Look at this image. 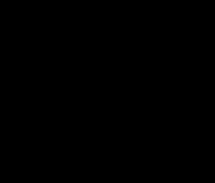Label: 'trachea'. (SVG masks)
Wrapping results in <instances>:
<instances>
[{
    "label": "trachea",
    "instance_id": "1",
    "mask_svg": "<svg viewBox=\"0 0 215 183\" xmlns=\"http://www.w3.org/2000/svg\"><path fill=\"white\" fill-rule=\"evenodd\" d=\"M121 89L128 91V92H135L136 86L134 82L130 79H124L120 82Z\"/></svg>",
    "mask_w": 215,
    "mask_h": 183
}]
</instances>
